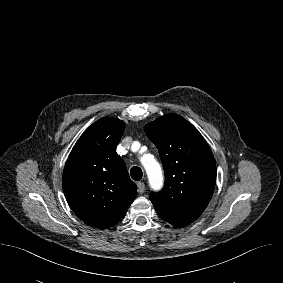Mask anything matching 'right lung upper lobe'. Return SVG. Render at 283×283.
Wrapping results in <instances>:
<instances>
[{
	"instance_id": "obj_1",
	"label": "right lung upper lobe",
	"mask_w": 283,
	"mask_h": 283,
	"mask_svg": "<svg viewBox=\"0 0 283 283\" xmlns=\"http://www.w3.org/2000/svg\"><path fill=\"white\" fill-rule=\"evenodd\" d=\"M124 129L119 119L97 120L79 138L64 168L63 190L69 206L96 228L120 222L137 195V186L116 153Z\"/></svg>"
}]
</instances>
